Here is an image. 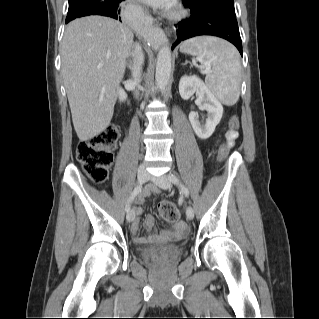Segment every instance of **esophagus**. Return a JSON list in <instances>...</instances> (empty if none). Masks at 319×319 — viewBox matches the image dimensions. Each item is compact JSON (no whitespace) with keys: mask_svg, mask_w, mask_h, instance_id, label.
Listing matches in <instances>:
<instances>
[{"mask_svg":"<svg viewBox=\"0 0 319 319\" xmlns=\"http://www.w3.org/2000/svg\"><path fill=\"white\" fill-rule=\"evenodd\" d=\"M153 34L154 37L151 40H149V43L152 46H159L163 41L167 39L163 29L159 25L154 26Z\"/></svg>","mask_w":319,"mask_h":319,"instance_id":"esophagus-1","label":"esophagus"}]
</instances>
